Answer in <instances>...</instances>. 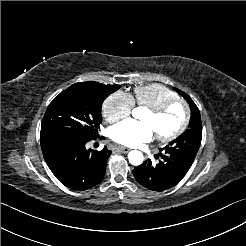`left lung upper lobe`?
Segmentation results:
<instances>
[{"label": "left lung upper lobe", "instance_id": "1", "mask_svg": "<svg viewBox=\"0 0 246 246\" xmlns=\"http://www.w3.org/2000/svg\"><path fill=\"white\" fill-rule=\"evenodd\" d=\"M174 89L189 103L191 118L188 129L181 136L170 142L164 149L166 153L181 154L193 162L199 150L202 139L200 112L190 96L177 88Z\"/></svg>", "mask_w": 246, "mask_h": 246}]
</instances>
